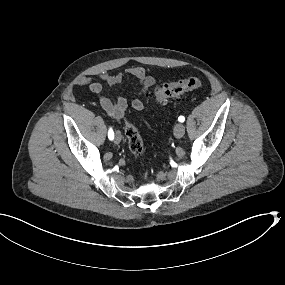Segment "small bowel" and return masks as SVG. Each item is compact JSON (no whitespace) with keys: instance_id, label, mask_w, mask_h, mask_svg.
<instances>
[{"instance_id":"1","label":"small bowel","mask_w":285,"mask_h":285,"mask_svg":"<svg viewBox=\"0 0 285 285\" xmlns=\"http://www.w3.org/2000/svg\"><path fill=\"white\" fill-rule=\"evenodd\" d=\"M127 73L138 81L139 95L146 94L155 83V79L148 75L142 67H132ZM99 78L108 86H117L121 83L123 75L120 73H102L99 75ZM77 85L87 87L90 92L97 95L101 107L114 121L120 122L123 119L128 108V102L125 97L119 96L115 100H111L102 94V84L100 82L93 81L86 76L79 77ZM132 107L136 111H141L144 108V104L140 98H135L132 101Z\"/></svg>"}]
</instances>
